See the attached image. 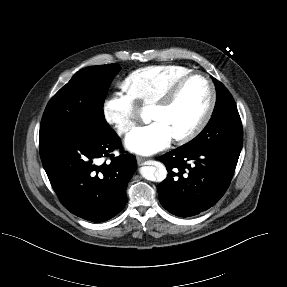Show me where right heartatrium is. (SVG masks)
Instances as JSON below:
<instances>
[{
	"label": "right heart atrium",
	"instance_id": "right-heart-atrium-1",
	"mask_svg": "<svg viewBox=\"0 0 287 287\" xmlns=\"http://www.w3.org/2000/svg\"><path fill=\"white\" fill-rule=\"evenodd\" d=\"M102 114L119 135H124L133 128L138 119V109L127 86H121L104 101Z\"/></svg>",
	"mask_w": 287,
	"mask_h": 287
}]
</instances>
